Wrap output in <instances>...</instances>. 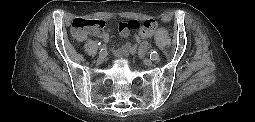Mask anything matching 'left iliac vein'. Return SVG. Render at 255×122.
<instances>
[{
  "mask_svg": "<svg viewBox=\"0 0 255 122\" xmlns=\"http://www.w3.org/2000/svg\"><path fill=\"white\" fill-rule=\"evenodd\" d=\"M143 62H144V64H145V65H147V66H151V65L153 64V61H152V60H150V59H147V58H146V59H144V61H143Z\"/></svg>",
  "mask_w": 255,
  "mask_h": 122,
  "instance_id": "1",
  "label": "left iliac vein"
}]
</instances>
